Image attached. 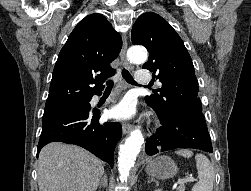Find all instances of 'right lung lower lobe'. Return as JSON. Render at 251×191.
<instances>
[{"mask_svg":"<svg viewBox=\"0 0 251 191\" xmlns=\"http://www.w3.org/2000/svg\"><path fill=\"white\" fill-rule=\"evenodd\" d=\"M99 118V112L94 109L70 112L43 121L37 157L46 144L64 142L87 149L113 167L114 150L122 136V127L119 123L100 124Z\"/></svg>","mask_w":251,"mask_h":191,"instance_id":"1","label":"right lung lower lobe"}]
</instances>
